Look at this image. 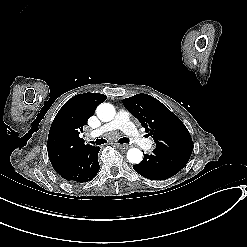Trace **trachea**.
Wrapping results in <instances>:
<instances>
[{"label": "trachea", "instance_id": "3493384b", "mask_svg": "<svg viewBox=\"0 0 247 247\" xmlns=\"http://www.w3.org/2000/svg\"><path fill=\"white\" fill-rule=\"evenodd\" d=\"M118 142L121 144H128L130 142V139L127 137H123L119 139ZM90 143L95 144V145H101V144L107 143V141L101 138V139H97L96 141H90Z\"/></svg>", "mask_w": 247, "mask_h": 247}]
</instances>
